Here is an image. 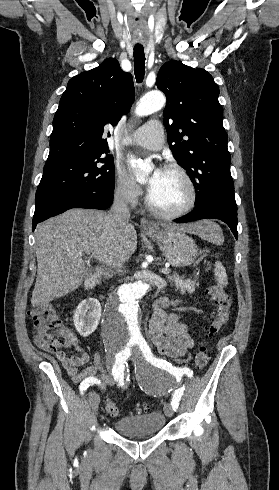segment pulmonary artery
<instances>
[{
	"mask_svg": "<svg viewBox=\"0 0 279 490\" xmlns=\"http://www.w3.org/2000/svg\"><path fill=\"white\" fill-rule=\"evenodd\" d=\"M167 125L165 122H156L153 117L147 120V124L143 125L136 131V140L129 139V144H135L144 148L159 150L163 145V138ZM120 144H125V139H120Z\"/></svg>",
	"mask_w": 279,
	"mask_h": 490,
	"instance_id": "pulmonary-artery-1",
	"label": "pulmonary artery"
}]
</instances>
